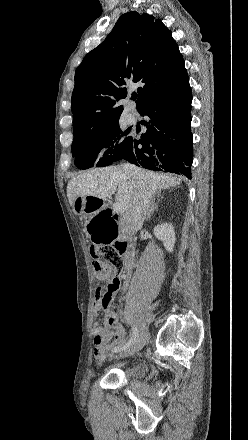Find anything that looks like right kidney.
Wrapping results in <instances>:
<instances>
[{
    "mask_svg": "<svg viewBox=\"0 0 248 440\" xmlns=\"http://www.w3.org/2000/svg\"><path fill=\"white\" fill-rule=\"evenodd\" d=\"M155 236L163 241L164 247L168 252H173L176 237L174 227L168 223H162L154 228Z\"/></svg>",
    "mask_w": 248,
    "mask_h": 440,
    "instance_id": "obj_1",
    "label": "right kidney"
}]
</instances>
